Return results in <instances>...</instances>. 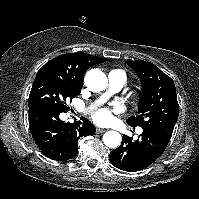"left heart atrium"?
I'll return each instance as SVG.
<instances>
[{"mask_svg": "<svg viewBox=\"0 0 199 199\" xmlns=\"http://www.w3.org/2000/svg\"><path fill=\"white\" fill-rule=\"evenodd\" d=\"M92 119L97 124H107L112 119L111 110L105 107L99 108L93 112Z\"/></svg>", "mask_w": 199, "mask_h": 199, "instance_id": "obj_1", "label": "left heart atrium"}]
</instances>
